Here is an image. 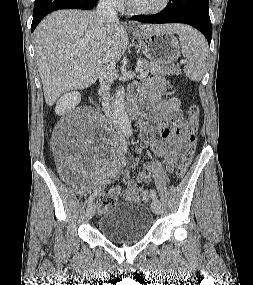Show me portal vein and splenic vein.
Instances as JSON below:
<instances>
[{
    "label": "portal vein and splenic vein",
    "instance_id": "portal-vein-and-splenic-vein-1",
    "mask_svg": "<svg viewBox=\"0 0 253 285\" xmlns=\"http://www.w3.org/2000/svg\"><path fill=\"white\" fill-rule=\"evenodd\" d=\"M139 71V77L140 78H146L148 75V71H142L141 69L138 70Z\"/></svg>",
    "mask_w": 253,
    "mask_h": 285
}]
</instances>
